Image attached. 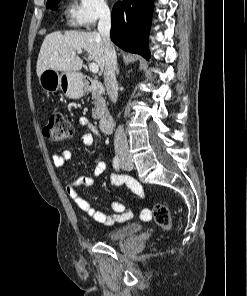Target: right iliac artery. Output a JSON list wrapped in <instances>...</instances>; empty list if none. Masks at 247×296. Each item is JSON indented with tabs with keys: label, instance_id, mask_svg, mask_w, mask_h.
Wrapping results in <instances>:
<instances>
[{
	"label": "right iliac artery",
	"instance_id": "1",
	"mask_svg": "<svg viewBox=\"0 0 247 296\" xmlns=\"http://www.w3.org/2000/svg\"><path fill=\"white\" fill-rule=\"evenodd\" d=\"M113 167L116 171L120 170V159L118 156H115L113 159Z\"/></svg>",
	"mask_w": 247,
	"mask_h": 296
}]
</instances>
